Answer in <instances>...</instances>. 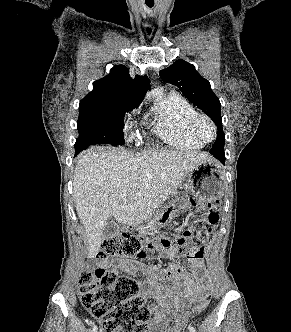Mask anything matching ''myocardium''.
Returning <instances> with one entry per match:
<instances>
[{
	"label": "myocardium",
	"instance_id": "f54148a6",
	"mask_svg": "<svg viewBox=\"0 0 291 332\" xmlns=\"http://www.w3.org/2000/svg\"><path fill=\"white\" fill-rule=\"evenodd\" d=\"M202 122H205L207 123L211 129H212V132H213V136L211 139H205L201 136L200 132H199V127H200V124ZM189 129H190V132L191 134L193 135V137L195 139H197L198 141H200L201 143L203 144H207V143H210V142H213L215 139H216V136H217V129H216V126H215V123L213 122V120L206 114H202V113H197L191 120H190V123H189Z\"/></svg>",
	"mask_w": 291,
	"mask_h": 332
}]
</instances>
